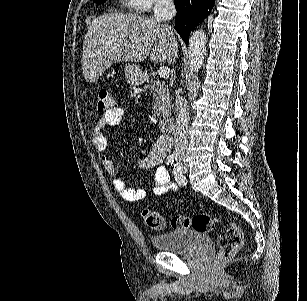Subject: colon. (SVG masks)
Returning a JSON list of instances; mask_svg holds the SVG:
<instances>
[{
  "instance_id": "1",
  "label": "colon",
  "mask_w": 307,
  "mask_h": 301,
  "mask_svg": "<svg viewBox=\"0 0 307 301\" xmlns=\"http://www.w3.org/2000/svg\"><path fill=\"white\" fill-rule=\"evenodd\" d=\"M112 102L109 93L106 90H100L97 99V110L106 112L111 108ZM142 218L145 224L154 230H162L165 228V220L160 213L152 209H145L142 212ZM222 220L210 213H198L193 216H176L171 221L174 229H188L199 233H207L212 231ZM227 228L222 231L218 238L219 252L217 262L221 263L232 257L240 250L243 245V232L241 228L230 221H224Z\"/></svg>"
}]
</instances>
